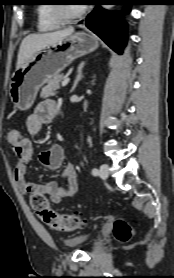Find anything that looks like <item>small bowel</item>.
I'll return each mask as SVG.
<instances>
[{
  "mask_svg": "<svg viewBox=\"0 0 174 278\" xmlns=\"http://www.w3.org/2000/svg\"><path fill=\"white\" fill-rule=\"evenodd\" d=\"M57 111L53 100L40 102L34 112L26 120L29 134L37 135L43 125L52 121ZM16 158L14 176L17 187L23 194L40 193L50 197L54 204H60L63 199L73 197L78 190L77 173L74 166L68 163L64 169L65 185L59 186L56 181L34 183L28 178V163L33 157V146L28 138L22 137L11 145ZM64 160V150L58 145H52L40 156L41 163L50 170L59 168Z\"/></svg>",
  "mask_w": 174,
  "mask_h": 278,
  "instance_id": "c3829d8e",
  "label": "small bowel"
}]
</instances>
